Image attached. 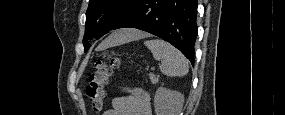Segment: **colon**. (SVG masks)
Listing matches in <instances>:
<instances>
[{
	"instance_id": "colon-1",
	"label": "colon",
	"mask_w": 285,
	"mask_h": 115,
	"mask_svg": "<svg viewBox=\"0 0 285 115\" xmlns=\"http://www.w3.org/2000/svg\"><path fill=\"white\" fill-rule=\"evenodd\" d=\"M119 64L120 60L117 57L109 56L107 60L96 63L95 70L89 77L86 94L92 109L96 113H99L104 107L106 97L105 86L113 70Z\"/></svg>"
}]
</instances>
